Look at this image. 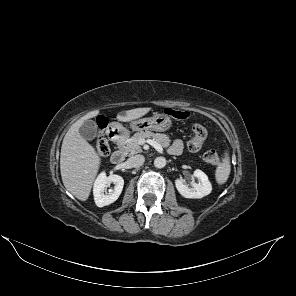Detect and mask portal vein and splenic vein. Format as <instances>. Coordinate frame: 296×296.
Returning <instances> with one entry per match:
<instances>
[{
    "mask_svg": "<svg viewBox=\"0 0 296 296\" xmlns=\"http://www.w3.org/2000/svg\"><path fill=\"white\" fill-rule=\"evenodd\" d=\"M146 142H147L148 144L154 146L156 149H158V150H162V147H161L158 143H156L154 140H147Z\"/></svg>",
    "mask_w": 296,
    "mask_h": 296,
    "instance_id": "obj_1",
    "label": "portal vein and splenic vein"
}]
</instances>
